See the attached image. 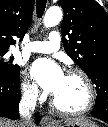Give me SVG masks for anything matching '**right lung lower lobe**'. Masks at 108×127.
I'll return each instance as SVG.
<instances>
[{
  "label": "right lung lower lobe",
  "instance_id": "1",
  "mask_svg": "<svg viewBox=\"0 0 108 127\" xmlns=\"http://www.w3.org/2000/svg\"><path fill=\"white\" fill-rule=\"evenodd\" d=\"M19 76L8 78L0 74V117L19 118L18 104L21 98ZM39 117L36 116V121Z\"/></svg>",
  "mask_w": 108,
  "mask_h": 127
}]
</instances>
